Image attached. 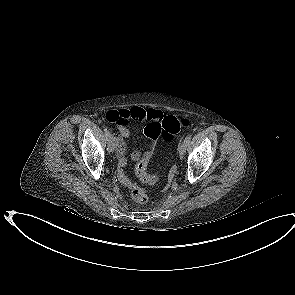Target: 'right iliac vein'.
Returning a JSON list of instances; mask_svg holds the SVG:
<instances>
[{
    "instance_id": "right-iliac-vein-1",
    "label": "right iliac vein",
    "mask_w": 295,
    "mask_h": 295,
    "mask_svg": "<svg viewBox=\"0 0 295 295\" xmlns=\"http://www.w3.org/2000/svg\"><path fill=\"white\" fill-rule=\"evenodd\" d=\"M107 144H108V152L109 153H113L115 151V148H116V144H115V140L113 138V136H110L107 140Z\"/></svg>"
}]
</instances>
